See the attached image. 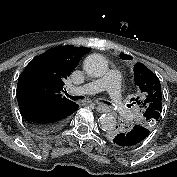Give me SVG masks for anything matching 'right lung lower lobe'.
<instances>
[{
	"mask_svg": "<svg viewBox=\"0 0 177 177\" xmlns=\"http://www.w3.org/2000/svg\"><path fill=\"white\" fill-rule=\"evenodd\" d=\"M19 109L27 124L35 131L49 132L61 127L79 106L49 105L46 103L19 102Z\"/></svg>",
	"mask_w": 177,
	"mask_h": 177,
	"instance_id": "1",
	"label": "right lung lower lobe"
}]
</instances>
